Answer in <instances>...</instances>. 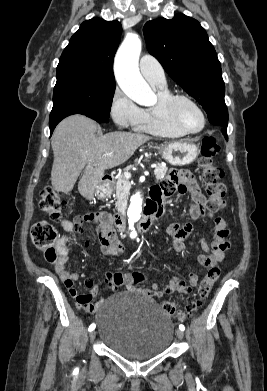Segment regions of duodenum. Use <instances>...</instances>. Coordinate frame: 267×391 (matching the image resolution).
Segmentation results:
<instances>
[{
	"mask_svg": "<svg viewBox=\"0 0 267 391\" xmlns=\"http://www.w3.org/2000/svg\"><path fill=\"white\" fill-rule=\"evenodd\" d=\"M105 181L106 179L103 180V182ZM157 212L158 210L156 206L153 203H150L145 210V215L141 218L137 225L138 228L143 232L149 231L152 227L154 216ZM113 225L114 228L119 232H122L126 229L127 221L123 212L120 211L114 215Z\"/></svg>",
	"mask_w": 267,
	"mask_h": 391,
	"instance_id": "duodenum-1",
	"label": "duodenum"
}]
</instances>
